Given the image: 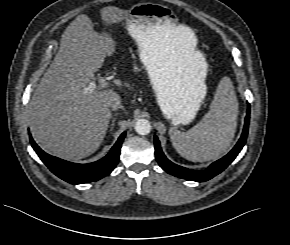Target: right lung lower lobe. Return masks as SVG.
<instances>
[{
  "mask_svg": "<svg viewBox=\"0 0 290 245\" xmlns=\"http://www.w3.org/2000/svg\"><path fill=\"white\" fill-rule=\"evenodd\" d=\"M125 134L124 132L119 137L116 144L104 158L89 164L71 163L51 156L45 153L31 136L30 141L40 159L56 176L71 184H81L97 181L113 171L119 161L120 148Z\"/></svg>",
  "mask_w": 290,
  "mask_h": 245,
  "instance_id": "98d812e1",
  "label": "right lung lower lobe"
}]
</instances>
